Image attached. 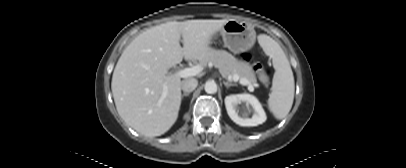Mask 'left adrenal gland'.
Wrapping results in <instances>:
<instances>
[{
  "label": "left adrenal gland",
  "mask_w": 406,
  "mask_h": 168,
  "mask_svg": "<svg viewBox=\"0 0 406 168\" xmlns=\"http://www.w3.org/2000/svg\"><path fill=\"white\" fill-rule=\"evenodd\" d=\"M223 84L225 85L226 88H229L230 86H237V84L226 82V81H223Z\"/></svg>",
  "instance_id": "obj_1"
}]
</instances>
